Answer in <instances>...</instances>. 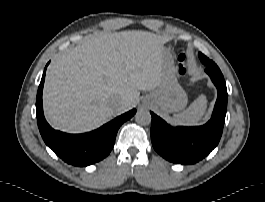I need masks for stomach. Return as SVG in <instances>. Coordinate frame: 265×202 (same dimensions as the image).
Wrapping results in <instances>:
<instances>
[{"label":"stomach","instance_id":"obj_1","mask_svg":"<svg viewBox=\"0 0 265 202\" xmlns=\"http://www.w3.org/2000/svg\"><path fill=\"white\" fill-rule=\"evenodd\" d=\"M161 56L163 62H165V75L159 88L155 91V103L163 111L178 112L187 105V94L176 79L173 64L167 62L171 57L169 49L162 47Z\"/></svg>","mask_w":265,"mask_h":202}]
</instances>
